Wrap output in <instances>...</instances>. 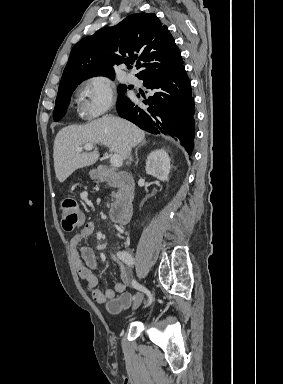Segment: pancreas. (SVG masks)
<instances>
[{
    "label": "pancreas",
    "mask_w": 283,
    "mask_h": 384,
    "mask_svg": "<svg viewBox=\"0 0 283 384\" xmlns=\"http://www.w3.org/2000/svg\"><path fill=\"white\" fill-rule=\"evenodd\" d=\"M115 174V170H107L106 180H100V182H107L108 178H114ZM113 188H117V186H113ZM112 198H119V190L116 194L112 192ZM111 206H113V204H111Z\"/></svg>",
    "instance_id": "obj_1"
}]
</instances>
